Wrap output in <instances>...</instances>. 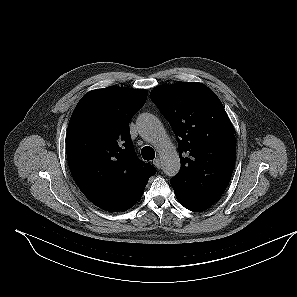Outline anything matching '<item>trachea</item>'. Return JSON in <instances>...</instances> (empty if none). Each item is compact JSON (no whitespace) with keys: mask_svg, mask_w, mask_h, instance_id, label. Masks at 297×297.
<instances>
[{"mask_svg":"<svg viewBox=\"0 0 297 297\" xmlns=\"http://www.w3.org/2000/svg\"><path fill=\"white\" fill-rule=\"evenodd\" d=\"M141 154L144 160H153L155 158V151L150 146L143 147Z\"/></svg>","mask_w":297,"mask_h":297,"instance_id":"trachea-1","label":"trachea"}]
</instances>
